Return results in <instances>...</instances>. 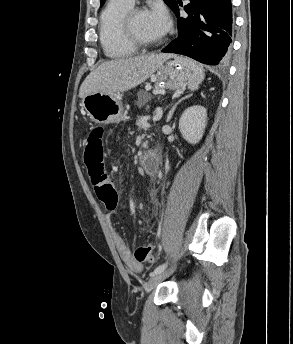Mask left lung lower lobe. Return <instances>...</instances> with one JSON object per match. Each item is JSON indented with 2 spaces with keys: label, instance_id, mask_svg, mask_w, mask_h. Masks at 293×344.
I'll return each mask as SVG.
<instances>
[{
  "label": "left lung lower lobe",
  "instance_id": "1",
  "mask_svg": "<svg viewBox=\"0 0 293 344\" xmlns=\"http://www.w3.org/2000/svg\"><path fill=\"white\" fill-rule=\"evenodd\" d=\"M178 3L181 5L179 0ZM178 17V37L162 52L189 56L208 65H222L229 59L232 42L231 0H191L184 7L188 18Z\"/></svg>",
  "mask_w": 293,
  "mask_h": 344
}]
</instances>
